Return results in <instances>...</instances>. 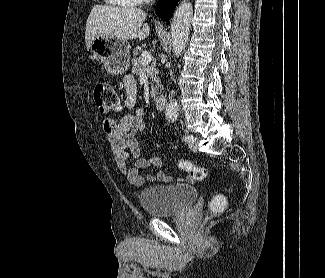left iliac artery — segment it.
I'll use <instances>...</instances> for the list:
<instances>
[{"instance_id":"44dca946","label":"left iliac artery","mask_w":325,"mask_h":278,"mask_svg":"<svg viewBox=\"0 0 325 278\" xmlns=\"http://www.w3.org/2000/svg\"><path fill=\"white\" fill-rule=\"evenodd\" d=\"M183 139H184L185 142L190 143V142L193 141L194 137L192 135H185Z\"/></svg>"}]
</instances>
